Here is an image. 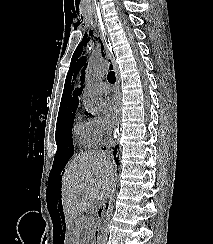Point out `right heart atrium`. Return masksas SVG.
Returning a JSON list of instances; mask_svg holds the SVG:
<instances>
[{
    "label": "right heart atrium",
    "instance_id": "d8ad5b80",
    "mask_svg": "<svg viewBox=\"0 0 213 244\" xmlns=\"http://www.w3.org/2000/svg\"><path fill=\"white\" fill-rule=\"evenodd\" d=\"M86 124L94 144L102 143L108 133L103 120L98 116H93L86 121Z\"/></svg>",
    "mask_w": 213,
    "mask_h": 244
}]
</instances>
